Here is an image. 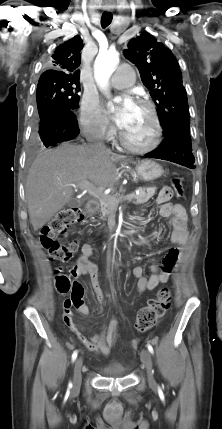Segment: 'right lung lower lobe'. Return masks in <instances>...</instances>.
<instances>
[{
  "instance_id": "right-lung-lower-lobe-1",
  "label": "right lung lower lobe",
  "mask_w": 222,
  "mask_h": 429,
  "mask_svg": "<svg viewBox=\"0 0 222 429\" xmlns=\"http://www.w3.org/2000/svg\"><path fill=\"white\" fill-rule=\"evenodd\" d=\"M78 134V123L72 111L51 110L39 124V135L45 147L72 140Z\"/></svg>"
}]
</instances>
